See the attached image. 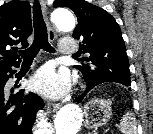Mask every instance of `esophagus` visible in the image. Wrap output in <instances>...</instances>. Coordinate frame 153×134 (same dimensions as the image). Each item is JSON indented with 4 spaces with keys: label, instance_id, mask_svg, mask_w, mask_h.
<instances>
[{
    "label": "esophagus",
    "instance_id": "34e87169",
    "mask_svg": "<svg viewBox=\"0 0 153 134\" xmlns=\"http://www.w3.org/2000/svg\"><path fill=\"white\" fill-rule=\"evenodd\" d=\"M40 1V4H41V7H42V11H43V14L45 16V19H46V23H47V26H48V34H49V38L51 41H54L55 40V33L52 29V27L50 26L49 22H48V19H47V13H46V0H39ZM47 107H48V110L50 112H55L57 111L59 108H60V104H56V103H48L47 104Z\"/></svg>",
    "mask_w": 153,
    "mask_h": 134
}]
</instances>
